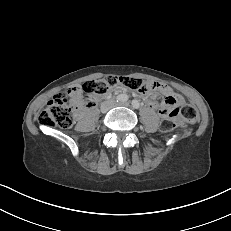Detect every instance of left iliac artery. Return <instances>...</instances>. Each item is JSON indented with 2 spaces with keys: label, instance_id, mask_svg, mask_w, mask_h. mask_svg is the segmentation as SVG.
<instances>
[{
  "label": "left iliac artery",
  "instance_id": "left-iliac-artery-1",
  "mask_svg": "<svg viewBox=\"0 0 231 231\" xmlns=\"http://www.w3.org/2000/svg\"><path fill=\"white\" fill-rule=\"evenodd\" d=\"M131 104L135 109H138L140 107V103L137 100H132Z\"/></svg>",
  "mask_w": 231,
  "mask_h": 231
}]
</instances>
